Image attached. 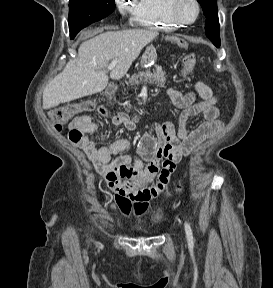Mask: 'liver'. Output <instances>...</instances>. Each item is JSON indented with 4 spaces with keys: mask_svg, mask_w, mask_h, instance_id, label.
I'll use <instances>...</instances> for the list:
<instances>
[{
    "mask_svg": "<svg viewBox=\"0 0 273 288\" xmlns=\"http://www.w3.org/2000/svg\"><path fill=\"white\" fill-rule=\"evenodd\" d=\"M158 35L152 29L107 31L83 42L78 56L45 87L43 109L103 91L109 80L104 70L108 63L117 60L110 78L121 79L141 50Z\"/></svg>",
    "mask_w": 273,
    "mask_h": 288,
    "instance_id": "liver-1",
    "label": "liver"
}]
</instances>
